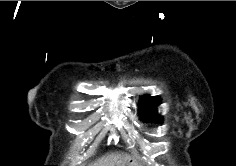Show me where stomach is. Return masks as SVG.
<instances>
[{"mask_svg": "<svg viewBox=\"0 0 236 166\" xmlns=\"http://www.w3.org/2000/svg\"><path fill=\"white\" fill-rule=\"evenodd\" d=\"M130 160L121 161L117 166H135L133 162H130Z\"/></svg>", "mask_w": 236, "mask_h": 166, "instance_id": "1", "label": "stomach"}]
</instances>
